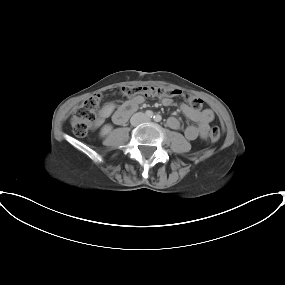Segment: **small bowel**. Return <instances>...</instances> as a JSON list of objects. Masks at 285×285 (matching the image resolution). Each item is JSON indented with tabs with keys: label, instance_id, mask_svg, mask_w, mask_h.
<instances>
[{
	"label": "small bowel",
	"instance_id": "obj_1",
	"mask_svg": "<svg viewBox=\"0 0 285 285\" xmlns=\"http://www.w3.org/2000/svg\"><path fill=\"white\" fill-rule=\"evenodd\" d=\"M144 102V96L137 95L131 98L126 103H133L136 107ZM162 104L169 106L172 104V99L163 98ZM181 112L190 120L194 121L196 125L187 126L184 130V135L188 140H195L199 137H205L209 131L210 123L214 119V113L211 109L197 110L186 104L180 106ZM168 126L171 129L177 130L180 128V122L175 117H170L167 121Z\"/></svg>",
	"mask_w": 285,
	"mask_h": 285
}]
</instances>
